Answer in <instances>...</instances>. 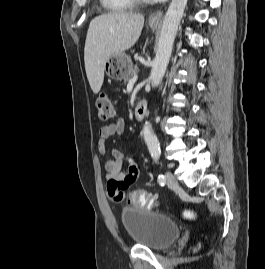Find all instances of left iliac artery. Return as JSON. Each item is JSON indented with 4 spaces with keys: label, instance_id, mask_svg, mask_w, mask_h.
Instances as JSON below:
<instances>
[{
    "label": "left iliac artery",
    "instance_id": "obj_1",
    "mask_svg": "<svg viewBox=\"0 0 265 269\" xmlns=\"http://www.w3.org/2000/svg\"><path fill=\"white\" fill-rule=\"evenodd\" d=\"M154 159L157 161L158 160V157H155ZM165 182H166V179H165L164 175H159L158 176V183L161 186H163L165 184Z\"/></svg>",
    "mask_w": 265,
    "mask_h": 269
}]
</instances>
